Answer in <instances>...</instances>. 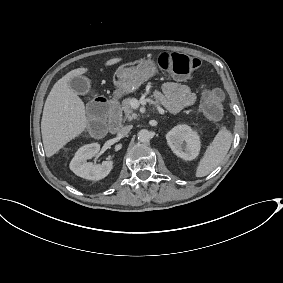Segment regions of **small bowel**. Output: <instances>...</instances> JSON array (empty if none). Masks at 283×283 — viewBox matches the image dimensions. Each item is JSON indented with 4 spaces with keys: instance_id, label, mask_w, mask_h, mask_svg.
<instances>
[{
    "instance_id": "c3829d8e",
    "label": "small bowel",
    "mask_w": 283,
    "mask_h": 283,
    "mask_svg": "<svg viewBox=\"0 0 283 283\" xmlns=\"http://www.w3.org/2000/svg\"><path fill=\"white\" fill-rule=\"evenodd\" d=\"M157 103L168 111L176 113L196 101L195 93L186 84L167 82L162 90L155 93Z\"/></svg>"
}]
</instances>
